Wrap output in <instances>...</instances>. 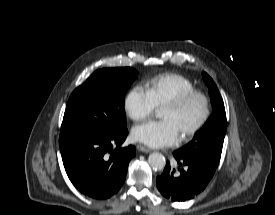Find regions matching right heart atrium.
<instances>
[{"label": "right heart atrium", "instance_id": "obj_1", "mask_svg": "<svg viewBox=\"0 0 275 215\" xmlns=\"http://www.w3.org/2000/svg\"><path fill=\"white\" fill-rule=\"evenodd\" d=\"M124 107L128 116L134 121L148 118L156 109V105L147 90L139 85L127 93Z\"/></svg>", "mask_w": 275, "mask_h": 215}]
</instances>
